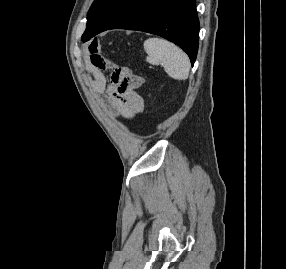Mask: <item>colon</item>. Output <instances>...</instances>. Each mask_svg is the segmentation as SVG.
<instances>
[{"instance_id":"1","label":"colon","mask_w":286,"mask_h":269,"mask_svg":"<svg viewBox=\"0 0 286 269\" xmlns=\"http://www.w3.org/2000/svg\"><path fill=\"white\" fill-rule=\"evenodd\" d=\"M111 71L114 75L113 82L118 95H121V100H124V109L142 110L144 102L140 91H142L143 83L146 81L145 78L133 74L128 69V65H115Z\"/></svg>"}]
</instances>
